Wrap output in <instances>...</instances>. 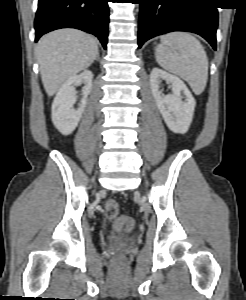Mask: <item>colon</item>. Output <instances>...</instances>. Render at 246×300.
<instances>
[{"label": "colon", "instance_id": "obj_1", "mask_svg": "<svg viewBox=\"0 0 246 300\" xmlns=\"http://www.w3.org/2000/svg\"><path fill=\"white\" fill-rule=\"evenodd\" d=\"M105 215L114 221V227L118 231L127 232L134 226V221L130 217L119 216V204L116 200L110 199L105 203Z\"/></svg>", "mask_w": 246, "mask_h": 300}]
</instances>
